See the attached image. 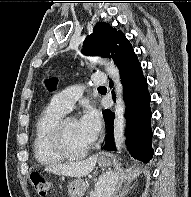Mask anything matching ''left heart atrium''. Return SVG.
I'll use <instances>...</instances> for the list:
<instances>
[{
    "instance_id": "39dd6f15",
    "label": "left heart atrium",
    "mask_w": 191,
    "mask_h": 197,
    "mask_svg": "<svg viewBox=\"0 0 191 197\" xmlns=\"http://www.w3.org/2000/svg\"><path fill=\"white\" fill-rule=\"evenodd\" d=\"M77 124L84 138L89 143H93L97 139L102 128L99 111L94 107H88L77 121Z\"/></svg>"
}]
</instances>
